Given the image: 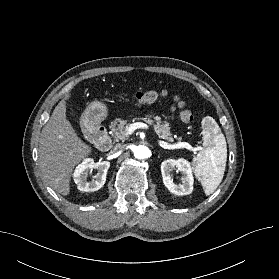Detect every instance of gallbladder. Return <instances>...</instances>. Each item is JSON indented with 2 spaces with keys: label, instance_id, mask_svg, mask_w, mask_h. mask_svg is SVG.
I'll use <instances>...</instances> for the list:
<instances>
[{
  "label": "gallbladder",
  "instance_id": "1",
  "mask_svg": "<svg viewBox=\"0 0 279 279\" xmlns=\"http://www.w3.org/2000/svg\"><path fill=\"white\" fill-rule=\"evenodd\" d=\"M71 114L74 115V111L71 109Z\"/></svg>",
  "mask_w": 279,
  "mask_h": 279
}]
</instances>
